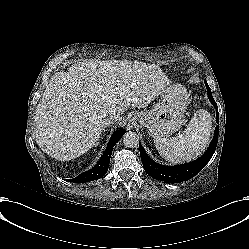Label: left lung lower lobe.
<instances>
[{
    "mask_svg": "<svg viewBox=\"0 0 249 249\" xmlns=\"http://www.w3.org/2000/svg\"><path fill=\"white\" fill-rule=\"evenodd\" d=\"M205 85L208 91L209 100L216 109V121L217 124H219L217 104L212 97L211 89L209 88L206 81ZM218 134L219 126L217 125L215 128L213 140L211 141L209 148L203 154V156H201L195 161L177 166H164L155 163L152 159H150V157L147 155L144 148L142 147L141 143L139 142V149L143 167L152 178L164 181L165 183H180L182 181H187L194 177L196 174H198L203 169V167L210 161L211 157L213 156L216 150Z\"/></svg>",
    "mask_w": 249,
    "mask_h": 249,
    "instance_id": "obj_1",
    "label": "left lung lower lobe"
}]
</instances>
